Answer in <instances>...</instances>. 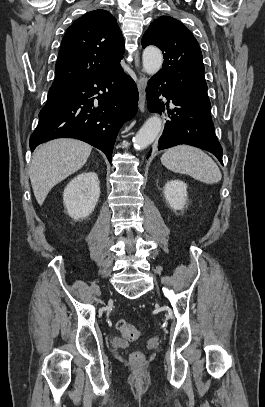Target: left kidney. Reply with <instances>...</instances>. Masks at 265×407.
Here are the masks:
<instances>
[{"mask_svg": "<svg viewBox=\"0 0 265 407\" xmlns=\"http://www.w3.org/2000/svg\"><path fill=\"white\" fill-rule=\"evenodd\" d=\"M164 197L173 210H182L187 201V184L181 180H171L165 184Z\"/></svg>", "mask_w": 265, "mask_h": 407, "instance_id": "obj_1", "label": "left kidney"}]
</instances>
